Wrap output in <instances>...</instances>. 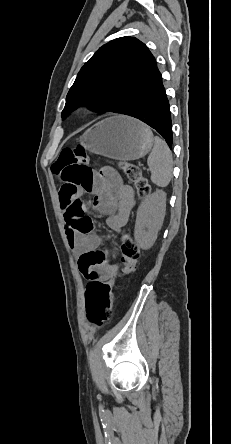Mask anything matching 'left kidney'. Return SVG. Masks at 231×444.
<instances>
[{"label": "left kidney", "instance_id": "obj_1", "mask_svg": "<svg viewBox=\"0 0 231 444\" xmlns=\"http://www.w3.org/2000/svg\"><path fill=\"white\" fill-rule=\"evenodd\" d=\"M166 212V193L158 190L148 196L139 206L134 237L137 245L150 249L157 239Z\"/></svg>", "mask_w": 231, "mask_h": 444}]
</instances>
